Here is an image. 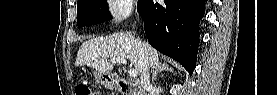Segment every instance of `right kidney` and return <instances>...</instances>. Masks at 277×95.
Wrapping results in <instances>:
<instances>
[{
  "mask_svg": "<svg viewBox=\"0 0 277 95\" xmlns=\"http://www.w3.org/2000/svg\"><path fill=\"white\" fill-rule=\"evenodd\" d=\"M180 90V86H173L170 90L171 94L175 95L177 91Z\"/></svg>",
  "mask_w": 277,
  "mask_h": 95,
  "instance_id": "obj_1",
  "label": "right kidney"
}]
</instances>
